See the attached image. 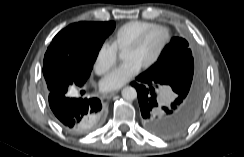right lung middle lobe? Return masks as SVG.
<instances>
[{
  "mask_svg": "<svg viewBox=\"0 0 244 157\" xmlns=\"http://www.w3.org/2000/svg\"><path fill=\"white\" fill-rule=\"evenodd\" d=\"M115 22H79L61 30L52 40L43 61L45 92L85 82Z\"/></svg>",
  "mask_w": 244,
  "mask_h": 157,
  "instance_id": "right-lung-middle-lobe-1",
  "label": "right lung middle lobe"
}]
</instances>
